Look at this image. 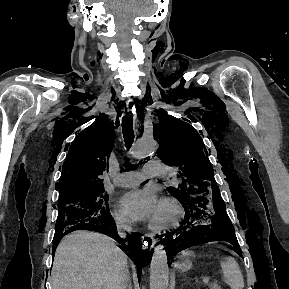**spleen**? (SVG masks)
<instances>
[{"instance_id":"spleen-1","label":"spleen","mask_w":289,"mask_h":289,"mask_svg":"<svg viewBox=\"0 0 289 289\" xmlns=\"http://www.w3.org/2000/svg\"><path fill=\"white\" fill-rule=\"evenodd\" d=\"M223 280L231 289H243L244 279L240 267L236 260L227 256L221 261Z\"/></svg>"}]
</instances>
